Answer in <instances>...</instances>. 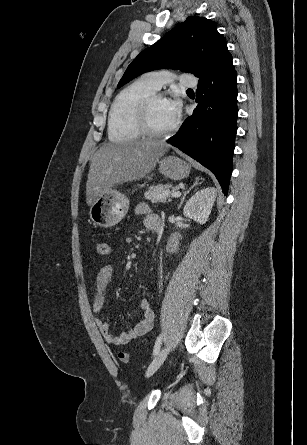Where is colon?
<instances>
[{
    "instance_id": "1",
    "label": "colon",
    "mask_w": 307,
    "mask_h": 445,
    "mask_svg": "<svg viewBox=\"0 0 307 445\" xmlns=\"http://www.w3.org/2000/svg\"><path fill=\"white\" fill-rule=\"evenodd\" d=\"M96 250L99 255L106 257L110 254V245L105 241L97 240L95 241ZM119 358L121 362L123 363H129L130 362V355L126 352H121L119 354Z\"/></svg>"
}]
</instances>
